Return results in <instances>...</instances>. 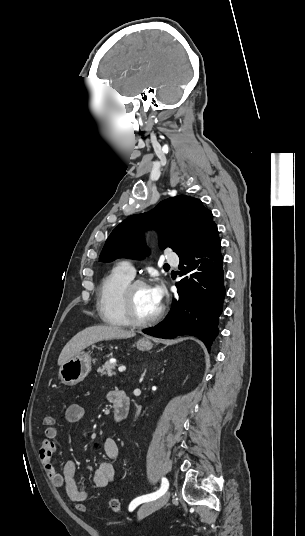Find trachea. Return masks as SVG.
Listing matches in <instances>:
<instances>
[{"label": "trachea", "mask_w": 305, "mask_h": 536, "mask_svg": "<svg viewBox=\"0 0 305 536\" xmlns=\"http://www.w3.org/2000/svg\"><path fill=\"white\" fill-rule=\"evenodd\" d=\"M164 267H165L166 269H169V268H170V266H169L168 264H165Z\"/></svg>", "instance_id": "obj_1"}]
</instances>
